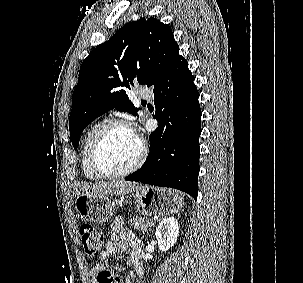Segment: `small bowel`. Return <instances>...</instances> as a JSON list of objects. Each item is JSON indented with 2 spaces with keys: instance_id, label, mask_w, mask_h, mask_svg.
I'll list each match as a JSON object with an SVG mask.
<instances>
[{
  "instance_id": "c3829d8e",
  "label": "small bowel",
  "mask_w": 303,
  "mask_h": 283,
  "mask_svg": "<svg viewBox=\"0 0 303 283\" xmlns=\"http://www.w3.org/2000/svg\"><path fill=\"white\" fill-rule=\"evenodd\" d=\"M129 246L133 249L130 256V264L137 275L141 276L143 273V267L140 257V242L131 231L125 228L122 218H116L113 221L111 225V239L107 243L106 248L101 251L99 258L101 261H105L113 255L124 253ZM103 269V263H97L92 267L91 272L94 276H97V274ZM124 283L133 282L131 280H126Z\"/></svg>"
}]
</instances>
